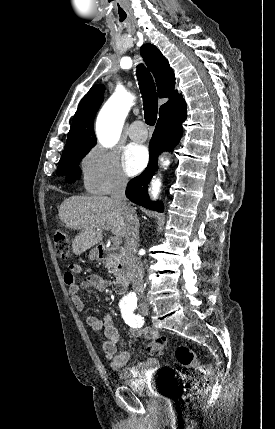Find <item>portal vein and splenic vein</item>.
Here are the masks:
<instances>
[{
    "mask_svg": "<svg viewBox=\"0 0 275 429\" xmlns=\"http://www.w3.org/2000/svg\"><path fill=\"white\" fill-rule=\"evenodd\" d=\"M109 230L110 228H109V226H103L102 228H101V230ZM113 243L115 244V245H119V244H121V238L119 237V236H115L114 237V239H113Z\"/></svg>",
    "mask_w": 275,
    "mask_h": 429,
    "instance_id": "1",
    "label": "portal vein and splenic vein"
}]
</instances>
